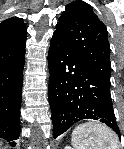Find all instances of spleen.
Returning <instances> with one entry per match:
<instances>
[{
    "mask_svg": "<svg viewBox=\"0 0 124 149\" xmlns=\"http://www.w3.org/2000/svg\"><path fill=\"white\" fill-rule=\"evenodd\" d=\"M85 123L77 126L72 133L74 149H119L110 129Z\"/></svg>",
    "mask_w": 124,
    "mask_h": 149,
    "instance_id": "obj_1",
    "label": "spleen"
}]
</instances>
